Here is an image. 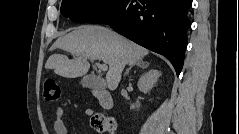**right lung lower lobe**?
Segmentation results:
<instances>
[{"instance_id":"1","label":"right lung lower lobe","mask_w":239,"mask_h":134,"mask_svg":"<svg viewBox=\"0 0 239 134\" xmlns=\"http://www.w3.org/2000/svg\"><path fill=\"white\" fill-rule=\"evenodd\" d=\"M190 0H120L88 23L108 24L119 34L164 55L179 76L191 23Z\"/></svg>"}]
</instances>
